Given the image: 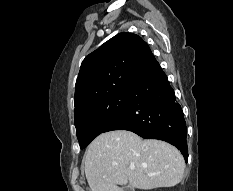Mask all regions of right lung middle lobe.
<instances>
[{"instance_id":"1","label":"right lung middle lobe","mask_w":233,"mask_h":191,"mask_svg":"<svg viewBox=\"0 0 233 191\" xmlns=\"http://www.w3.org/2000/svg\"><path fill=\"white\" fill-rule=\"evenodd\" d=\"M128 102V93L119 94L76 113L75 127L81 149L101 134L104 128L125 110Z\"/></svg>"}]
</instances>
